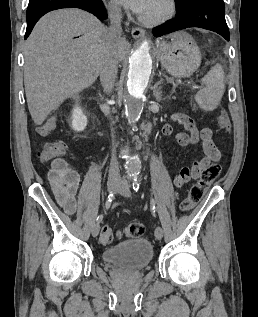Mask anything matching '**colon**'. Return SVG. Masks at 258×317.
I'll list each match as a JSON object with an SVG mask.
<instances>
[{"label":"colon","mask_w":258,"mask_h":317,"mask_svg":"<svg viewBox=\"0 0 258 317\" xmlns=\"http://www.w3.org/2000/svg\"><path fill=\"white\" fill-rule=\"evenodd\" d=\"M219 127L229 132L231 123L226 111L221 110L217 116ZM65 145L59 141H51L44 144L37 152L38 157L42 161H49L56 157L61 156L65 152ZM220 165L218 163H211L207 165L199 178V180L190 188L187 197L181 203L182 211H190L193 209L204 197L206 191L211 184L217 179L220 174ZM144 226L139 222H133L125 229V234L131 238H138L144 233ZM115 238L114 232L111 227L104 226L100 233V243L102 245H110Z\"/></svg>","instance_id":"1"}]
</instances>
